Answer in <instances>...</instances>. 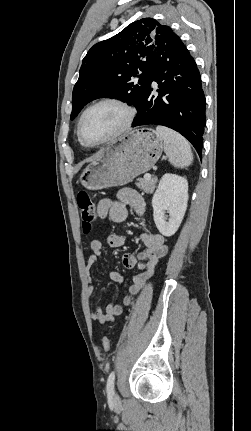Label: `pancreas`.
Returning <instances> with one entry per match:
<instances>
[{"label": "pancreas", "mask_w": 251, "mask_h": 431, "mask_svg": "<svg viewBox=\"0 0 251 431\" xmlns=\"http://www.w3.org/2000/svg\"><path fill=\"white\" fill-rule=\"evenodd\" d=\"M157 183V178L146 180L145 178H138L136 185L146 193L152 194Z\"/></svg>", "instance_id": "1"}]
</instances>
